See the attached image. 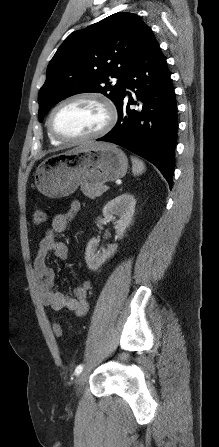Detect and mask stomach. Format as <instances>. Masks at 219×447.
Segmentation results:
<instances>
[{"mask_svg": "<svg viewBox=\"0 0 219 447\" xmlns=\"http://www.w3.org/2000/svg\"><path fill=\"white\" fill-rule=\"evenodd\" d=\"M127 168L128 159L121 149L92 143L45 159L36 169L35 184L43 195L61 198L74 193L79 185L122 178Z\"/></svg>", "mask_w": 219, "mask_h": 447, "instance_id": "1", "label": "stomach"}]
</instances>
